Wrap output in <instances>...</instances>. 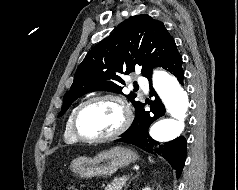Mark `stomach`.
Segmentation results:
<instances>
[{"instance_id":"1","label":"stomach","mask_w":238,"mask_h":190,"mask_svg":"<svg viewBox=\"0 0 238 190\" xmlns=\"http://www.w3.org/2000/svg\"><path fill=\"white\" fill-rule=\"evenodd\" d=\"M138 159L137 153L131 149L116 146L108 151L100 152L93 158L78 157L72 161L70 168L83 179L108 177L113 175L119 168L126 167Z\"/></svg>"}]
</instances>
